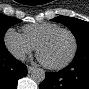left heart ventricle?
<instances>
[{
    "instance_id": "obj_1",
    "label": "left heart ventricle",
    "mask_w": 89,
    "mask_h": 89,
    "mask_svg": "<svg viewBox=\"0 0 89 89\" xmlns=\"http://www.w3.org/2000/svg\"><path fill=\"white\" fill-rule=\"evenodd\" d=\"M72 48L73 42L70 35L60 32L41 47L40 57L45 63L60 64L70 56Z\"/></svg>"
}]
</instances>
